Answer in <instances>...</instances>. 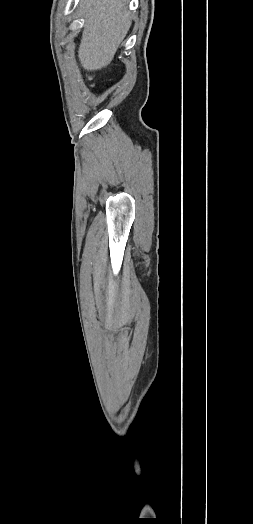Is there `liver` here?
Returning <instances> with one entry per match:
<instances>
[{
    "instance_id": "6515ba94",
    "label": "liver",
    "mask_w": 253,
    "mask_h": 524,
    "mask_svg": "<svg viewBox=\"0 0 253 524\" xmlns=\"http://www.w3.org/2000/svg\"><path fill=\"white\" fill-rule=\"evenodd\" d=\"M127 4L128 0L81 2L85 24L78 57L84 69L100 70L112 61L131 26Z\"/></svg>"
}]
</instances>
